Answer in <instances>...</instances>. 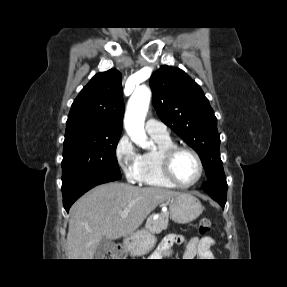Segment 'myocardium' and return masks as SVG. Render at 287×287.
<instances>
[{
	"mask_svg": "<svg viewBox=\"0 0 287 287\" xmlns=\"http://www.w3.org/2000/svg\"><path fill=\"white\" fill-rule=\"evenodd\" d=\"M182 151L191 153L195 157L198 163V166H199V173H198L197 178L193 182L188 183V184L181 183L176 178L174 174V170H173L174 158L179 152H182ZM160 162H161L162 170H163L165 177L169 181L174 183L176 187H179V188H190V187L195 186L196 184H198V182L201 180L204 174V164H203L201 156L195 149L188 147V146L173 145L167 149H164L160 154Z\"/></svg>",
	"mask_w": 287,
	"mask_h": 287,
	"instance_id": "obj_1",
	"label": "myocardium"
}]
</instances>
